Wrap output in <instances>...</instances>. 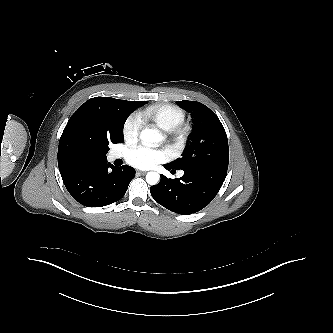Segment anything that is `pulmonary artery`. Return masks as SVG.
<instances>
[{
    "instance_id": "pulmonary-artery-1",
    "label": "pulmonary artery",
    "mask_w": 333,
    "mask_h": 333,
    "mask_svg": "<svg viewBox=\"0 0 333 333\" xmlns=\"http://www.w3.org/2000/svg\"><path fill=\"white\" fill-rule=\"evenodd\" d=\"M120 157H121V154L117 151H113L109 154V159L112 160V161L115 160V159H118ZM180 175H182V173H180Z\"/></svg>"
}]
</instances>
